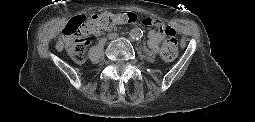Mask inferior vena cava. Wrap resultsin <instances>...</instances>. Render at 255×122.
<instances>
[{"label":"inferior vena cava","instance_id":"obj_1","mask_svg":"<svg viewBox=\"0 0 255 122\" xmlns=\"http://www.w3.org/2000/svg\"><path fill=\"white\" fill-rule=\"evenodd\" d=\"M107 36H108V39L114 40L118 37V34L117 33H110Z\"/></svg>","mask_w":255,"mask_h":122}]
</instances>
